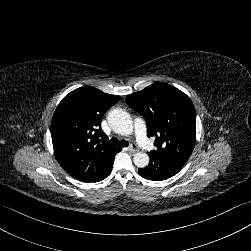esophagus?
Instances as JSON below:
<instances>
[{
	"label": "esophagus",
	"instance_id": "obj_1",
	"mask_svg": "<svg viewBox=\"0 0 251 251\" xmlns=\"http://www.w3.org/2000/svg\"><path fill=\"white\" fill-rule=\"evenodd\" d=\"M127 149L132 154H135L139 151V148L136 144H130Z\"/></svg>",
	"mask_w": 251,
	"mask_h": 251
}]
</instances>
